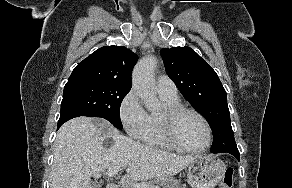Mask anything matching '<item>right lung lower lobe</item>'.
Wrapping results in <instances>:
<instances>
[{
	"instance_id": "98d812e1",
	"label": "right lung lower lobe",
	"mask_w": 292,
	"mask_h": 188,
	"mask_svg": "<svg viewBox=\"0 0 292 188\" xmlns=\"http://www.w3.org/2000/svg\"><path fill=\"white\" fill-rule=\"evenodd\" d=\"M74 117H78V115H75V114H71V115H65V116H62L60 117L59 121H58V128L63 124L65 123L66 121L74 118Z\"/></svg>"
}]
</instances>
